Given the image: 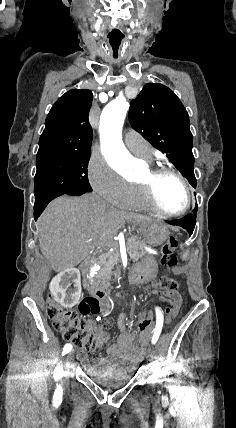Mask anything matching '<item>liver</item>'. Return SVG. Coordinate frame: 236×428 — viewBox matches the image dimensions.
<instances>
[{
  "label": "liver",
  "instance_id": "obj_1",
  "mask_svg": "<svg viewBox=\"0 0 236 428\" xmlns=\"http://www.w3.org/2000/svg\"><path fill=\"white\" fill-rule=\"evenodd\" d=\"M126 222L144 228L154 220L120 212L97 194H84L81 198L61 196L47 206L38 220L41 254L55 272L74 268L96 246L114 244L113 238Z\"/></svg>",
  "mask_w": 236,
  "mask_h": 428
}]
</instances>
